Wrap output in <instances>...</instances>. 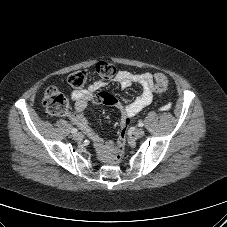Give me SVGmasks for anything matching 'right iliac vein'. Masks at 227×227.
Returning a JSON list of instances; mask_svg holds the SVG:
<instances>
[{
    "label": "right iliac vein",
    "mask_w": 227,
    "mask_h": 227,
    "mask_svg": "<svg viewBox=\"0 0 227 227\" xmlns=\"http://www.w3.org/2000/svg\"><path fill=\"white\" fill-rule=\"evenodd\" d=\"M84 138L83 134L78 132L76 133L74 136H73V139L76 140V141H82Z\"/></svg>",
    "instance_id": "obj_1"
}]
</instances>
